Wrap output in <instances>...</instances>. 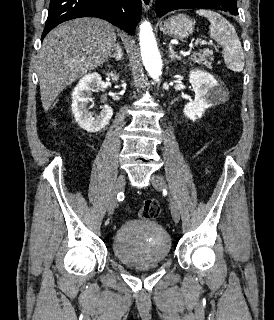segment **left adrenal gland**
Segmentation results:
<instances>
[{
	"label": "left adrenal gland",
	"mask_w": 274,
	"mask_h": 320,
	"mask_svg": "<svg viewBox=\"0 0 274 320\" xmlns=\"http://www.w3.org/2000/svg\"><path fill=\"white\" fill-rule=\"evenodd\" d=\"M168 48H169L170 62H174V60H181V56H178V54H176V52H174V50L172 48V44H168Z\"/></svg>",
	"instance_id": "a2214340"
}]
</instances>
